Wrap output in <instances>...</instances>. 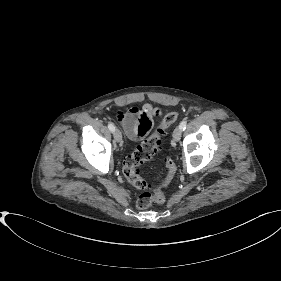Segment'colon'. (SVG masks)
<instances>
[{
  "instance_id": "1",
  "label": "colon",
  "mask_w": 281,
  "mask_h": 281,
  "mask_svg": "<svg viewBox=\"0 0 281 281\" xmlns=\"http://www.w3.org/2000/svg\"><path fill=\"white\" fill-rule=\"evenodd\" d=\"M179 118L177 112H171L165 116L158 128L152 132L144 142L130 155H128L122 165V171L127 181L134 187L143 191L137 198L138 208L145 209L153 203H163L165 200L164 188L171 182L176 165L174 161L167 157L165 159V178L157 185H151L145 181L138 170V167L154 158L160 151V146L165 138V131L175 124Z\"/></svg>"
}]
</instances>
